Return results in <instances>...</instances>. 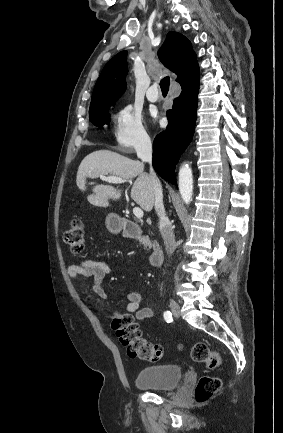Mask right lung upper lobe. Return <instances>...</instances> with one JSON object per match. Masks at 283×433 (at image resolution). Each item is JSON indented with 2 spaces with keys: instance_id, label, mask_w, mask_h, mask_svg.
<instances>
[{
  "instance_id": "right-lung-upper-lobe-1",
  "label": "right lung upper lobe",
  "mask_w": 283,
  "mask_h": 433,
  "mask_svg": "<svg viewBox=\"0 0 283 433\" xmlns=\"http://www.w3.org/2000/svg\"><path fill=\"white\" fill-rule=\"evenodd\" d=\"M158 56L167 68L178 75L177 82L180 85L199 77L197 56L191 42L182 34L170 31ZM126 73L127 51H122L105 65L99 76L94 87L90 112L115 104L125 91Z\"/></svg>"
}]
</instances>
